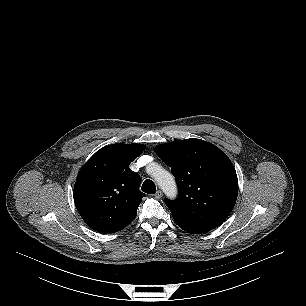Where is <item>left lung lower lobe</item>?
Returning <instances> with one entry per match:
<instances>
[{"instance_id": "left-lung-lower-lobe-1", "label": "left lung lower lobe", "mask_w": 306, "mask_h": 306, "mask_svg": "<svg viewBox=\"0 0 306 306\" xmlns=\"http://www.w3.org/2000/svg\"><path fill=\"white\" fill-rule=\"evenodd\" d=\"M183 230L189 232V233H204V232H208L210 230L207 229H202V228H196V227H192V226H188V225H181L178 224Z\"/></svg>"}]
</instances>
